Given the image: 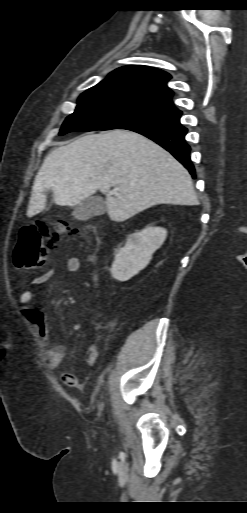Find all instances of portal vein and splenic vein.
<instances>
[{
    "instance_id": "18ae733b",
    "label": "portal vein and splenic vein",
    "mask_w": 247,
    "mask_h": 513,
    "mask_svg": "<svg viewBox=\"0 0 247 513\" xmlns=\"http://www.w3.org/2000/svg\"><path fill=\"white\" fill-rule=\"evenodd\" d=\"M119 190H120V188H118V187H115V188L113 189V191H114V192H118Z\"/></svg>"
}]
</instances>
